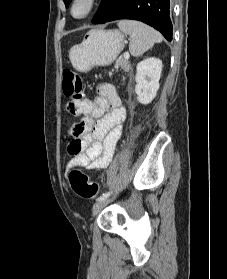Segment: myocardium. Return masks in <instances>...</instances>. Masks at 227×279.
I'll return each mask as SVG.
<instances>
[{"mask_svg":"<svg viewBox=\"0 0 227 279\" xmlns=\"http://www.w3.org/2000/svg\"><path fill=\"white\" fill-rule=\"evenodd\" d=\"M83 1L85 4V10L81 15H76L74 13V9L76 7V5ZM97 5V0H72L71 1V6H70V14L73 18L78 19V20H82L87 18L96 8Z\"/></svg>","mask_w":227,"mask_h":279,"instance_id":"obj_1","label":"myocardium"}]
</instances>
